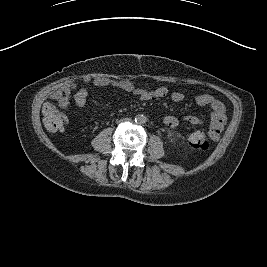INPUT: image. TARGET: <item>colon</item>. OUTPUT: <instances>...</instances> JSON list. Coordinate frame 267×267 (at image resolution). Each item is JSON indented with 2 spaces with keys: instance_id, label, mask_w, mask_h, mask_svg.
Wrapping results in <instances>:
<instances>
[{
  "instance_id": "colon-1",
  "label": "colon",
  "mask_w": 267,
  "mask_h": 267,
  "mask_svg": "<svg viewBox=\"0 0 267 267\" xmlns=\"http://www.w3.org/2000/svg\"><path fill=\"white\" fill-rule=\"evenodd\" d=\"M45 127L52 132L60 131L65 126V116L52 103H45L42 107ZM190 144L197 150H207L210 146L208 137L203 132L192 134Z\"/></svg>"
}]
</instances>
